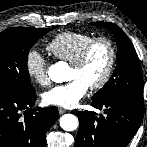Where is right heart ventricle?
I'll return each mask as SVG.
<instances>
[{"label":"right heart ventricle","mask_w":147,"mask_h":147,"mask_svg":"<svg viewBox=\"0 0 147 147\" xmlns=\"http://www.w3.org/2000/svg\"><path fill=\"white\" fill-rule=\"evenodd\" d=\"M93 38L89 33L63 32L47 44V50L58 60L71 64Z\"/></svg>","instance_id":"right-heart-ventricle-1"}]
</instances>
